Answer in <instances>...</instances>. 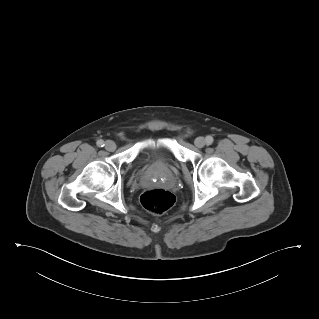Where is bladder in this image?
Segmentation results:
<instances>
[{
  "instance_id": "31cf9c89",
  "label": "bladder",
  "mask_w": 319,
  "mask_h": 319,
  "mask_svg": "<svg viewBox=\"0 0 319 319\" xmlns=\"http://www.w3.org/2000/svg\"><path fill=\"white\" fill-rule=\"evenodd\" d=\"M169 155L170 151L166 138L163 136H151L145 141L138 153L136 164L142 166L159 157H167Z\"/></svg>"
}]
</instances>
